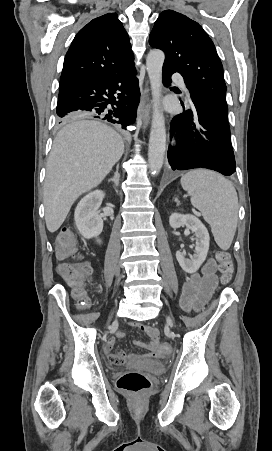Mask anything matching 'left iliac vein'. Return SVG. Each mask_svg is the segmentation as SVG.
Wrapping results in <instances>:
<instances>
[{
	"label": "left iliac vein",
	"instance_id": "obj_1",
	"mask_svg": "<svg viewBox=\"0 0 272 451\" xmlns=\"http://www.w3.org/2000/svg\"><path fill=\"white\" fill-rule=\"evenodd\" d=\"M166 320H167L168 323L172 322V320L170 318H167Z\"/></svg>",
	"mask_w": 272,
	"mask_h": 451
}]
</instances>
